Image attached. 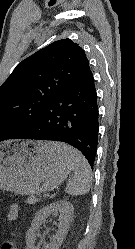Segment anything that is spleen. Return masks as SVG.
Masks as SVG:
<instances>
[{
    "mask_svg": "<svg viewBox=\"0 0 135 249\" xmlns=\"http://www.w3.org/2000/svg\"><path fill=\"white\" fill-rule=\"evenodd\" d=\"M52 147L69 159L73 166L74 175L67 184L66 193L75 196L87 194L91 186L92 172L86 158L78 150L64 143L53 142Z\"/></svg>",
    "mask_w": 135,
    "mask_h": 249,
    "instance_id": "3e777b00",
    "label": "spleen"
}]
</instances>
